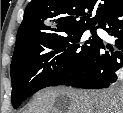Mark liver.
I'll list each match as a JSON object with an SVG mask.
<instances>
[{"instance_id":"obj_1","label":"liver","mask_w":123,"mask_h":113,"mask_svg":"<svg viewBox=\"0 0 123 113\" xmlns=\"http://www.w3.org/2000/svg\"><path fill=\"white\" fill-rule=\"evenodd\" d=\"M25 113H123V89L49 87L35 94Z\"/></svg>"}]
</instances>
